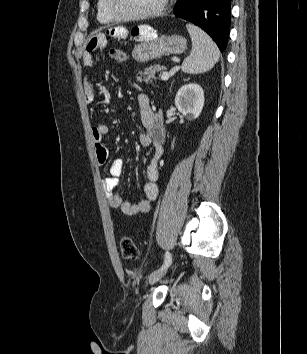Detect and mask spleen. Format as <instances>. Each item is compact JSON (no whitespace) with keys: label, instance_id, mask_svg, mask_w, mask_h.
I'll list each match as a JSON object with an SVG mask.
<instances>
[{"label":"spleen","instance_id":"1","mask_svg":"<svg viewBox=\"0 0 307 354\" xmlns=\"http://www.w3.org/2000/svg\"><path fill=\"white\" fill-rule=\"evenodd\" d=\"M192 41V51L182 63V71L200 74L211 70L218 62L220 52L217 45L202 29L192 24L186 25Z\"/></svg>","mask_w":307,"mask_h":354}]
</instances>
